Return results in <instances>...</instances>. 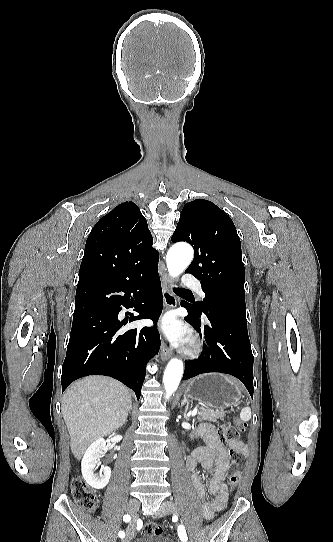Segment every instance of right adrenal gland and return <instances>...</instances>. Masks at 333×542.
<instances>
[{
  "label": "right adrenal gland",
  "mask_w": 333,
  "mask_h": 542,
  "mask_svg": "<svg viewBox=\"0 0 333 542\" xmlns=\"http://www.w3.org/2000/svg\"><path fill=\"white\" fill-rule=\"evenodd\" d=\"M130 410H132V402H130Z\"/></svg>",
  "instance_id": "2a0ac1e0"
}]
</instances>
